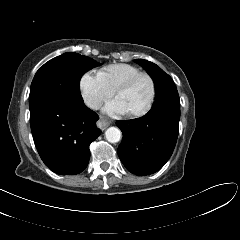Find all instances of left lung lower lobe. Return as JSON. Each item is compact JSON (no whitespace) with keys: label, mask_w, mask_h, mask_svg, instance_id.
Returning <instances> with one entry per match:
<instances>
[{"label":"left lung lower lobe","mask_w":240,"mask_h":240,"mask_svg":"<svg viewBox=\"0 0 240 240\" xmlns=\"http://www.w3.org/2000/svg\"><path fill=\"white\" fill-rule=\"evenodd\" d=\"M179 119V105L162 104L141 118L117 121L123 133L118 155L126 169L144 176L162 168L175 148Z\"/></svg>","instance_id":"obj_1"}]
</instances>
